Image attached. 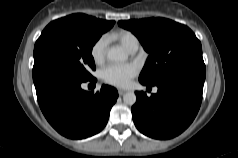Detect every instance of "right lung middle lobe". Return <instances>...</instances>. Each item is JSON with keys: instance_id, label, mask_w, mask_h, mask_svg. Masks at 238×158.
Listing matches in <instances>:
<instances>
[{"instance_id": "dd1d6c3e", "label": "right lung middle lobe", "mask_w": 238, "mask_h": 158, "mask_svg": "<svg viewBox=\"0 0 238 158\" xmlns=\"http://www.w3.org/2000/svg\"><path fill=\"white\" fill-rule=\"evenodd\" d=\"M106 31L90 20L74 16L52 21L35 43L33 68L54 65L81 79H93L92 47Z\"/></svg>"}]
</instances>
